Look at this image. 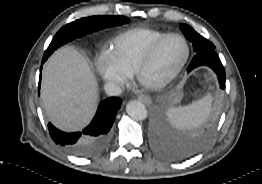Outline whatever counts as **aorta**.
<instances>
[{"label": "aorta", "instance_id": "762f6f07", "mask_svg": "<svg viewBox=\"0 0 262 184\" xmlns=\"http://www.w3.org/2000/svg\"><path fill=\"white\" fill-rule=\"evenodd\" d=\"M127 114L136 121L145 120L148 116L145 105L137 100H132L126 105Z\"/></svg>", "mask_w": 262, "mask_h": 184}]
</instances>
